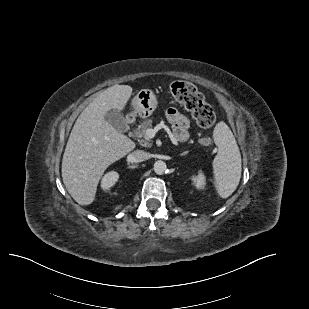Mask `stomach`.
Here are the masks:
<instances>
[{
	"mask_svg": "<svg viewBox=\"0 0 309 309\" xmlns=\"http://www.w3.org/2000/svg\"><path fill=\"white\" fill-rule=\"evenodd\" d=\"M158 101L152 90L142 89L132 99L135 114L145 119L150 117L157 108Z\"/></svg>",
	"mask_w": 309,
	"mask_h": 309,
	"instance_id": "stomach-1",
	"label": "stomach"
}]
</instances>
